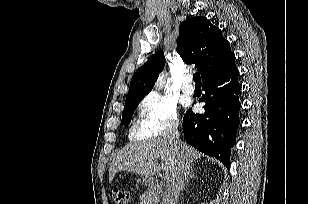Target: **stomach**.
I'll list each match as a JSON object with an SVG mask.
<instances>
[{
  "label": "stomach",
  "instance_id": "stomach-1",
  "mask_svg": "<svg viewBox=\"0 0 309 204\" xmlns=\"http://www.w3.org/2000/svg\"><path fill=\"white\" fill-rule=\"evenodd\" d=\"M143 181H144L145 183H148V182L150 181V178H149V177H144V178H143Z\"/></svg>",
  "mask_w": 309,
  "mask_h": 204
}]
</instances>
